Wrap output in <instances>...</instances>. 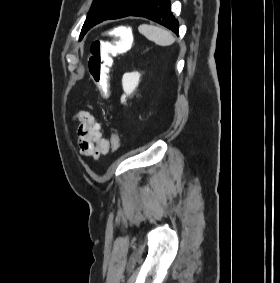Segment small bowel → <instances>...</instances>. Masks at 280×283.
<instances>
[{"label":"small bowel","instance_id":"small-bowel-1","mask_svg":"<svg viewBox=\"0 0 280 283\" xmlns=\"http://www.w3.org/2000/svg\"><path fill=\"white\" fill-rule=\"evenodd\" d=\"M74 122L77 123L78 145L83 156L98 159L101 155L117 150L114 141L119 136L115 133L110 139L104 137L101 124L91 112L79 111L74 116Z\"/></svg>","mask_w":280,"mask_h":283}]
</instances>
